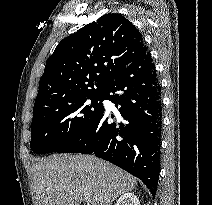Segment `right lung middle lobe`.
<instances>
[{"instance_id": "obj_1", "label": "right lung middle lobe", "mask_w": 212, "mask_h": 205, "mask_svg": "<svg viewBox=\"0 0 212 205\" xmlns=\"http://www.w3.org/2000/svg\"><path fill=\"white\" fill-rule=\"evenodd\" d=\"M102 94L33 112L30 143L32 151L37 154L56 152L82 133L104 109Z\"/></svg>"}]
</instances>
